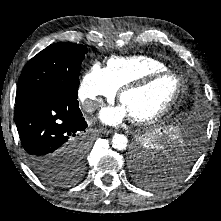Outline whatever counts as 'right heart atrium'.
<instances>
[{"instance_id":"1","label":"right heart atrium","mask_w":221,"mask_h":221,"mask_svg":"<svg viewBox=\"0 0 221 221\" xmlns=\"http://www.w3.org/2000/svg\"><path fill=\"white\" fill-rule=\"evenodd\" d=\"M117 88L109 79L106 69L99 64L91 66L83 75L79 87V100L89 112L97 109L103 99H112Z\"/></svg>"}]
</instances>
